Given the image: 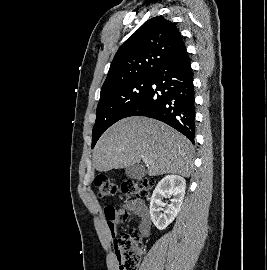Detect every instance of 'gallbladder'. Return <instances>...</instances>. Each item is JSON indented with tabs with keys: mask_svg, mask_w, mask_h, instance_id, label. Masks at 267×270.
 I'll use <instances>...</instances> for the list:
<instances>
[{
	"mask_svg": "<svg viewBox=\"0 0 267 270\" xmlns=\"http://www.w3.org/2000/svg\"><path fill=\"white\" fill-rule=\"evenodd\" d=\"M125 174L128 178L135 180V179H142L145 176L146 172L140 166L132 165L125 169Z\"/></svg>",
	"mask_w": 267,
	"mask_h": 270,
	"instance_id": "obj_1",
	"label": "gallbladder"
}]
</instances>
